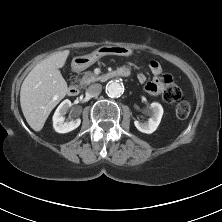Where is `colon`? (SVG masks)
<instances>
[{"instance_id":"obj_1","label":"colon","mask_w":222,"mask_h":222,"mask_svg":"<svg viewBox=\"0 0 222 222\" xmlns=\"http://www.w3.org/2000/svg\"><path fill=\"white\" fill-rule=\"evenodd\" d=\"M162 83L164 85V100L176 104L175 112L179 119L187 118L190 114V104L184 98L181 89L173 81V78L170 75H164L162 77Z\"/></svg>"}]
</instances>
